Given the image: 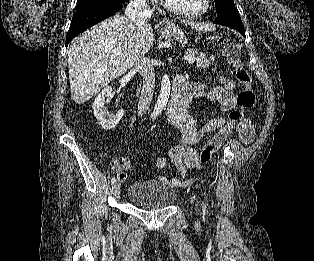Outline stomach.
Masks as SVG:
<instances>
[{
	"label": "stomach",
	"instance_id": "0dacf381",
	"mask_svg": "<svg viewBox=\"0 0 314 261\" xmlns=\"http://www.w3.org/2000/svg\"><path fill=\"white\" fill-rule=\"evenodd\" d=\"M164 36L173 38L183 46L187 44V38L184 33L178 28V26L174 25L173 23H167L166 28L164 30Z\"/></svg>",
	"mask_w": 314,
	"mask_h": 261
}]
</instances>
